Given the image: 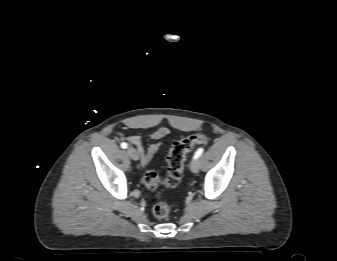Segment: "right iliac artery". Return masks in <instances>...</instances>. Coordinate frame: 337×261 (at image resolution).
<instances>
[{"instance_id": "obj_1", "label": "right iliac artery", "mask_w": 337, "mask_h": 261, "mask_svg": "<svg viewBox=\"0 0 337 261\" xmlns=\"http://www.w3.org/2000/svg\"><path fill=\"white\" fill-rule=\"evenodd\" d=\"M127 146H128L127 143H125V142L121 143V147H122L123 149H126Z\"/></svg>"}]
</instances>
